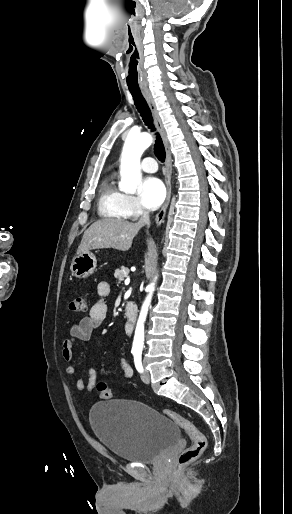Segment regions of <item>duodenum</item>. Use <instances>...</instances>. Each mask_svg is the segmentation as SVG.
<instances>
[{"label": "duodenum", "mask_w": 292, "mask_h": 514, "mask_svg": "<svg viewBox=\"0 0 292 514\" xmlns=\"http://www.w3.org/2000/svg\"><path fill=\"white\" fill-rule=\"evenodd\" d=\"M125 312L127 314V322L125 325V330L127 333H131L137 318V305L133 301H128L125 304Z\"/></svg>", "instance_id": "1"}]
</instances>
